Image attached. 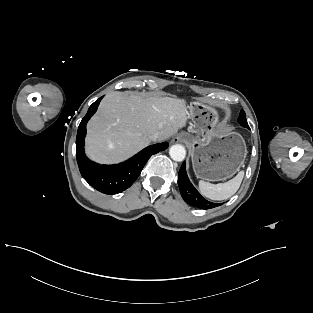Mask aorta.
<instances>
[{
  "instance_id": "1",
  "label": "aorta",
  "mask_w": 313,
  "mask_h": 313,
  "mask_svg": "<svg viewBox=\"0 0 313 313\" xmlns=\"http://www.w3.org/2000/svg\"><path fill=\"white\" fill-rule=\"evenodd\" d=\"M169 154L174 161L181 162L186 156V150L182 145L175 144L170 147Z\"/></svg>"
}]
</instances>
